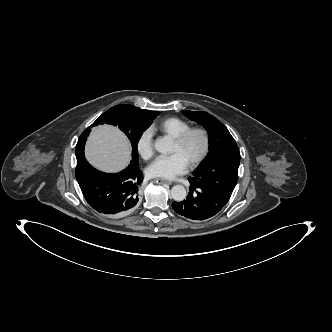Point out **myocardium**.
<instances>
[{
    "instance_id": "1",
    "label": "myocardium",
    "mask_w": 332,
    "mask_h": 332,
    "mask_svg": "<svg viewBox=\"0 0 332 332\" xmlns=\"http://www.w3.org/2000/svg\"><path fill=\"white\" fill-rule=\"evenodd\" d=\"M193 134H200L202 139H203V146L201 151L199 152L198 155H196L193 159L190 160L188 163L190 167H195L199 165L208 155L210 151V135L209 132L207 131L206 128L201 127V126H195V127H190L184 132H182L179 136L174 138V142L182 147L186 144L188 139L193 135Z\"/></svg>"
}]
</instances>
